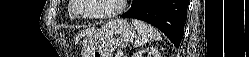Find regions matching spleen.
<instances>
[{"label": "spleen", "mask_w": 249, "mask_h": 57, "mask_svg": "<svg viewBox=\"0 0 249 57\" xmlns=\"http://www.w3.org/2000/svg\"><path fill=\"white\" fill-rule=\"evenodd\" d=\"M133 25L138 33V39L136 40V45L141 46L151 41L161 40V34L152 25L145 23L144 21L133 19Z\"/></svg>", "instance_id": "spleen-1"}]
</instances>
